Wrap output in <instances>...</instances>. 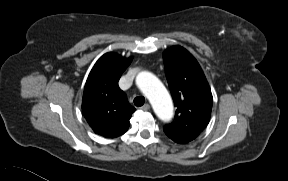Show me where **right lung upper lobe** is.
Wrapping results in <instances>:
<instances>
[{
  "mask_svg": "<svg viewBox=\"0 0 288 181\" xmlns=\"http://www.w3.org/2000/svg\"><path fill=\"white\" fill-rule=\"evenodd\" d=\"M132 58L106 53L98 59L85 84L82 110L95 133L106 138L124 134L135 111L118 81Z\"/></svg>",
  "mask_w": 288,
  "mask_h": 181,
  "instance_id": "1",
  "label": "right lung upper lobe"
}]
</instances>
